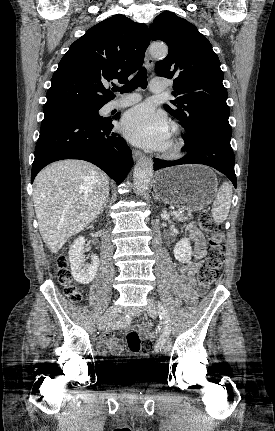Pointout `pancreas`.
<instances>
[{
  "instance_id": "obj_1",
  "label": "pancreas",
  "mask_w": 275,
  "mask_h": 431,
  "mask_svg": "<svg viewBox=\"0 0 275 431\" xmlns=\"http://www.w3.org/2000/svg\"><path fill=\"white\" fill-rule=\"evenodd\" d=\"M190 217L191 216H184L181 214L179 216H175V219H177L179 222H185L188 221Z\"/></svg>"
}]
</instances>
